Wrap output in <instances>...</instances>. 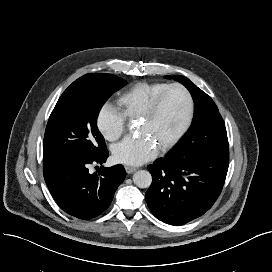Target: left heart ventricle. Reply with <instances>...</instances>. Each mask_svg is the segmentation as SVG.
Here are the masks:
<instances>
[{"label":"left heart ventricle","instance_id":"obj_1","mask_svg":"<svg viewBox=\"0 0 272 272\" xmlns=\"http://www.w3.org/2000/svg\"><path fill=\"white\" fill-rule=\"evenodd\" d=\"M187 112L185 95L178 89L171 90L164 98L157 113L142 120L139 133L150 137L157 147L172 137L184 122Z\"/></svg>","mask_w":272,"mask_h":272}]
</instances>
